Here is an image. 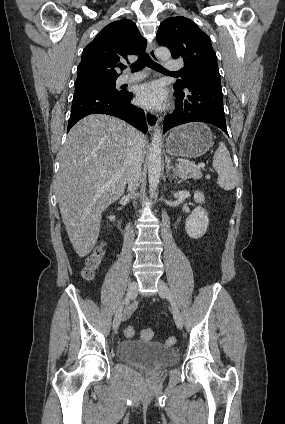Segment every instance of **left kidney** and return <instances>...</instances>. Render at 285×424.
<instances>
[{"label": "left kidney", "instance_id": "1", "mask_svg": "<svg viewBox=\"0 0 285 424\" xmlns=\"http://www.w3.org/2000/svg\"><path fill=\"white\" fill-rule=\"evenodd\" d=\"M194 200L195 202L202 204L205 201V197L200 191H195ZM208 225V213L199 205L186 219L185 230L190 238L198 239L206 233Z\"/></svg>", "mask_w": 285, "mask_h": 424}]
</instances>
